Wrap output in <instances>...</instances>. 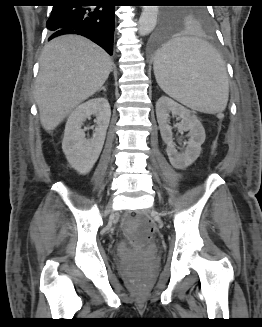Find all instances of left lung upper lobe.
Listing matches in <instances>:
<instances>
[{
	"instance_id": "left-lung-upper-lobe-1",
	"label": "left lung upper lobe",
	"mask_w": 262,
	"mask_h": 327,
	"mask_svg": "<svg viewBox=\"0 0 262 327\" xmlns=\"http://www.w3.org/2000/svg\"><path fill=\"white\" fill-rule=\"evenodd\" d=\"M180 3L200 4L203 0H177ZM196 24L209 27L211 24V15L207 7L191 6L184 9H167L163 13L162 25L167 28H173L181 24Z\"/></svg>"
}]
</instances>
